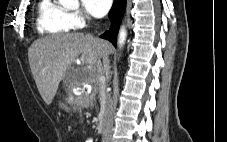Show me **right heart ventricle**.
Returning <instances> with one entry per match:
<instances>
[{
  "label": "right heart ventricle",
  "instance_id": "obj_1",
  "mask_svg": "<svg viewBox=\"0 0 227 142\" xmlns=\"http://www.w3.org/2000/svg\"><path fill=\"white\" fill-rule=\"evenodd\" d=\"M36 28L43 35L67 33L73 28L70 13L56 0H40L36 11Z\"/></svg>",
  "mask_w": 227,
  "mask_h": 142
}]
</instances>
